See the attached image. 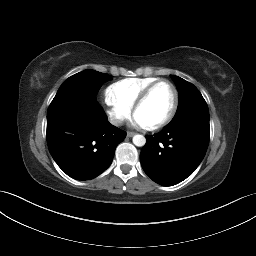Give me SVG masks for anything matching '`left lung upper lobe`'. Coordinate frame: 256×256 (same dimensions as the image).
I'll use <instances>...</instances> for the list:
<instances>
[{
  "label": "left lung upper lobe",
  "instance_id": "1",
  "mask_svg": "<svg viewBox=\"0 0 256 256\" xmlns=\"http://www.w3.org/2000/svg\"><path fill=\"white\" fill-rule=\"evenodd\" d=\"M179 91V104L176 114L170 124L176 123L187 117H196L209 121L207 103L199 90L190 82L170 75Z\"/></svg>",
  "mask_w": 256,
  "mask_h": 256
}]
</instances>
